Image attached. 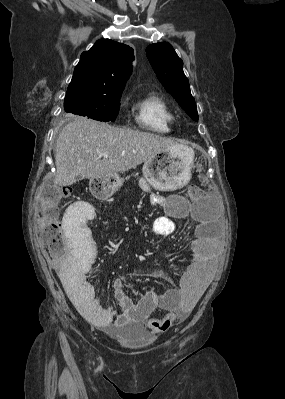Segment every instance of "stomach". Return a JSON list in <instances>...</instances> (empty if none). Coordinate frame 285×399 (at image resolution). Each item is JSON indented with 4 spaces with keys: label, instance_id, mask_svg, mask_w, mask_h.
Masks as SVG:
<instances>
[{
    "label": "stomach",
    "instance_id": "0dacf381",
    "mask_svg": "<svg viewBox=\"0 0 285 399\" xmlns=\"http://www.w3.org/2000/svg\"><path fill=\"white\" fill-rule=\"evenodd\" d=\"M194 151L184 145L164 150L143 165V175L157 190L171 191L185 185L191 178ZM123 184L119 175L91 179L89 188L99 200H106L117 192Z\"/></svg>",
    "mask_w": 285,
    "mask_h": 399
}]
</instances>
